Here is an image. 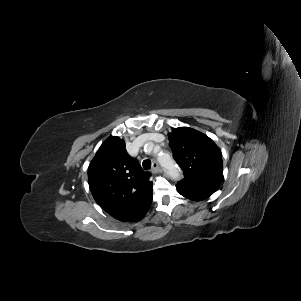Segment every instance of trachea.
Here are the masks:
<instances>
[{
	"label": "trachea",
	"mask_w": 301,
	"mask_h": 301,
	"mask_svg": "<svg viewBox=\"0 0 301 301\" xmlns=\"http://www.w3.org/2000/svg\"><path fill=\"white\" fill-rule=\"evenodd\" d=\"M143 169L144 170H149L151 169V161L150 160H144L142 163Z\"/></svg>",
	"instance_id": "trachea-1"
}]
</instances>
